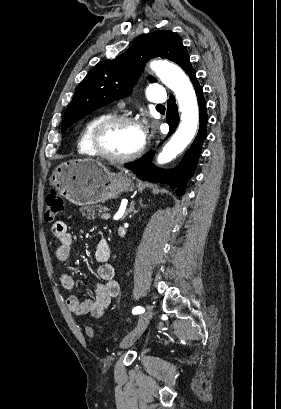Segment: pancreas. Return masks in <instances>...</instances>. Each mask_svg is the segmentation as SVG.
<instances>
[{"instance_id": "1", "label": "pancreas", "mask_w": 281, "mask_h": 409, "mask_svg": "<svg viewBox=\"0 0 281 409\" xmlns=\"http://www.w3.org/2000/svg\"><path fill=\"white\" fill-rule=\"evenodd\" d=\"M87 211V219H96L95 217V211H107L106 207H101V205H98V209H95V207H84V209H81V211ZM101 215H99L100 217ZM83 217H86L85 213H83Z\"/></svg>"}]
</instances>
